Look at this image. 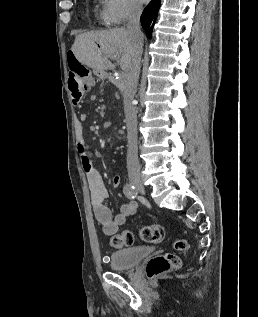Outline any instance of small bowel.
Masks as SVG:
<instances>
[{
	"label": "small bowel",
	"instance_id": "small-bowel-1",
	"mask_svg": "<svg viewBox=\"0 0 258 317\" xmlns=\"http://www.w3.org/2000/svg\"><path fill=\"white\" fill-rule=\"evenodd\" d=\"M74 134L81 158L82 168L90 190L94 215L101 224L103 232L108 236L114 235L119 227L125 224L126 219L136 212L137 204L134 201L126 202L121 206L118 214H112V211L105 203V200L108 197V191L103 183L100 173L93 166V163L86 152L84 125L79 118L74 121ZM121 181V175L114 176L112 179L113 187H118L121 184Z\"/></svg>",
	"mask_w": 258,
	"mask_h": 317
}]
</instances>
